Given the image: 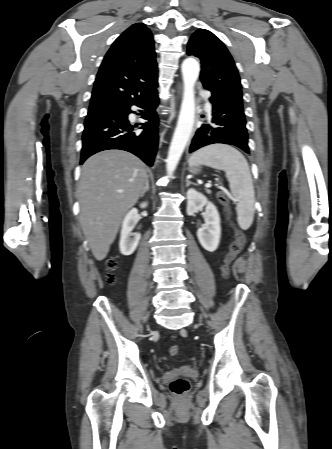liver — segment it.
Returning <instances> with one entry per match:
<instances>
[{
  "instance_id": "6515ba94",
  "label": "liver",
  "mask_w": 332,
  "mask_h": 449,
  "mask_svg": "<svg viewBox=\"0 0 332 449\" xmlns=\"http://www.w3.org/2000/svg\"><path fill=\"white\" fill-rule=\"evenodd\" d=\"M145 164L121 150L99 152L85 161L78 186L80 224L96 260H103L126 212L146 183Z\"/></svg>"
}]
</instances>
